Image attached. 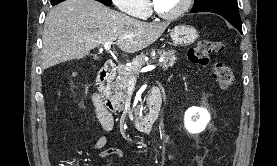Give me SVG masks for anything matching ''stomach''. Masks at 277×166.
Listing matches in <instances>:
<instances>
[{"mask_svg": "<svg viewBox=\"0 0 277 166\" xmlns=\"http://www.w3.org/2000/svg\"><path fill=\"white\" fill-rule=\"evenodd\" d=\"M170 36L175 45L188 46L198 39L199 34L193 26L177 25L171 31Z\"/></svg>", "mask_w": 277, "mask_h": 166, "instance_id": "1", "label": "stomach"}]
</instances>
